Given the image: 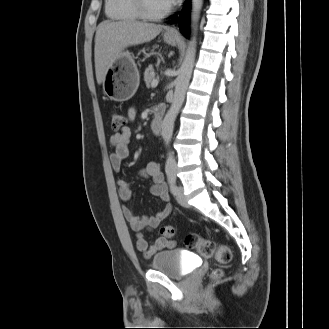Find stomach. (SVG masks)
I'll return each instance as SVG.
<instances>
[{"label":"stomach","mask_w":329,"mask_h":329,"mask_svg":"<svg viewBox=\"0 0 329 329\" xmlns=\"http://www.w3.org/2000/svg\"><path fill=\"white\" fill-rule=\"evenodd\" d=\"M164 41L176 44V38L164 35ZM140 75L137 65L128 51H121L108 68L104 80L103 91L110 100L124 102L133 97L138 89Z\"/></svg>","instance_id":"1"}]
</instances>
